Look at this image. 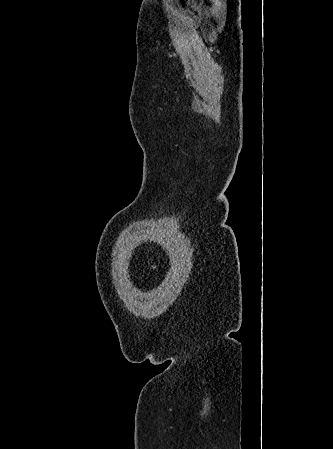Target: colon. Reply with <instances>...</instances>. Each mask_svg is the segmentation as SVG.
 Returning a JSON list of instances; mask_svg holds the SVG:
<instances>
[{"instance_id":"obj_1","label":"colon","mask_w":333,"mask_h":449,"mask_svg":"<svg viewBox=\"0 0 333 449\" xmlns=\"http://www.w3.org/2000/svg\"><path fill=\"white\" fill-rule=\"evenodd\" d=\"M149 267L151 271H154L156 269V266L152 263L151 259L148 260Z\"/></svg>"}]
</instances>
